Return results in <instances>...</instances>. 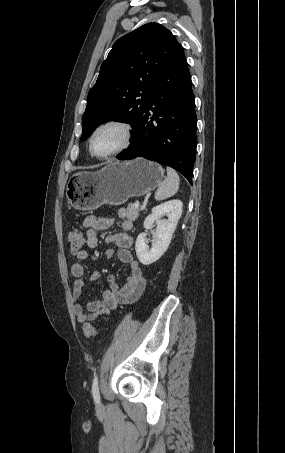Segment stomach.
Returning <instances> with one entry per match:
<instances>
[{
  "label": "stomach",
  "instance_id": "0dacf381",
  "mask_svg": "<svg viewBox=\"0 0 285 453\" xmlns=\"http://www.w3.org/2000/svg\"><path fill=\"white\" fill-rule=\"evenodd\" d=\"M164 169L157 163L136 158L112 162L97 172H77L67 185L69 204L90 211L104 204L122 205L143 196L162 183Z\"/></svg>",
  "mask_w": 285,
  "mask_h": 453
}]
</instances>
